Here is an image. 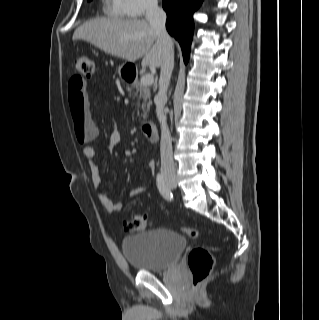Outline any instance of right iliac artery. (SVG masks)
<instances>
[{"mask_svg": "<svg viewBox=\"0 0 319 320\" xmlns=\"http://www.w3.org/2000/svg\"><path fill=\"white\" fill-rule=\"evenodd\" d=\"M157 186H158L159 192L166 200L171 201L173 199V194L170 188H168V186L165 184V181L161 174L157 175Z\"/></svg>", "mask_w": 319, "mask_h": 320, "instance_id": "82829eb1", "label": "right iliac artery"}]
</instances>
